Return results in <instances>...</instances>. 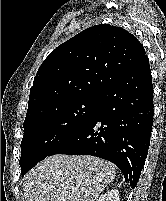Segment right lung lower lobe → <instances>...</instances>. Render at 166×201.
<instances>
[{
    "label": "right lung lower lobe",
    "instance_id": "98d812e1",
    "mask_svg": "<svg viewBox=\"0 0 166 201\" xmlns=\"http://www.w3.org/2000/svg\"><path fill=\"white\" fill-rule=\"evenodd\" d=\"M153 112L152 76L145 55L99 95L93 114L49 156L100 157L116 164L135 188L148 153Z\"/></svg>",
    "mask_w": 166,
    "mask_h": 201
}]
</instances>
